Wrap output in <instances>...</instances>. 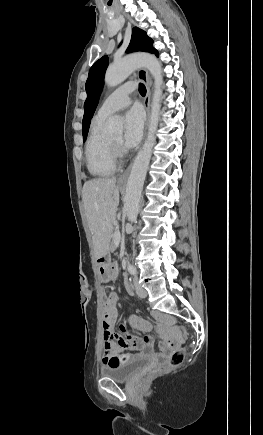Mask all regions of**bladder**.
I'll return each instance as SVG.
<instances>
[{
  "label": "bladder",
  "mask_w": 263,
  "mask_h": 435,
  "mask_svg": "<svg viewBox=\"0 0 263 435\" xmlns=\"http://www.w3.org/2000/svg\"><path fill=\"white\" fill-rule=\"evenodd\" d=\"M147 362L148 360L144 357H136L113 366L103 365L100 374L114 381L125 382L130 380Z\"/></svg>",
  "instance_id": "bladder-1"
}]
</instances>
